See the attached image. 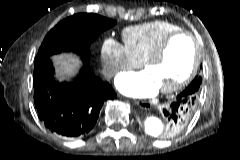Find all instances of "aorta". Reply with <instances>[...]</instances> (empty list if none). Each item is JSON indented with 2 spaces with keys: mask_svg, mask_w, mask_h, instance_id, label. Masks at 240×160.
Instances as JSON below:
<instances>
[{
  "mask_svg": "<svg viewBox=\"0 0 240 160\" xmlns=\"http://www.w3.org/2000/svg\"><path fill=\"white\" fill-rule=\"evenodd\" d=\"M143 126L145 132L153 138L159 137L165 129V123L156 116H147Z\"/></svg>",
  "mask_w": 240,
  "mask_h": 160,
  "instance_id": "1",
  "label": "aorta"
}]
</instances>
